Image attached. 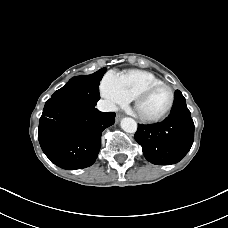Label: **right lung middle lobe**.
Listing matches in <instances>:
<instances>
[{
  "label": "right lung middle lobe",
  "mask_w": 228,
  "mask_h": 228,
  "mask_svg": "<svg viewBox=\"0 0 228 228\" xmlns=\"http://www.w3.org/2000/svg\"><path fill=\"white\" fill-rule=\"evenodd\" d=\"M106 70V68H102L91 75L71 78L50 99L66 101L83 108L95 107L100 99L99 83Z\"/></svg>",
  "instance_id": "right-lung-middle-lobe-1"
}]
</instances>
